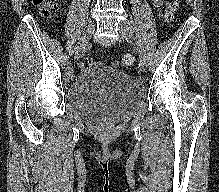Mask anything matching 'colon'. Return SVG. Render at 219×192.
<instances>
[{"mask_svg": "<svg viewBox=\"0 0 219 192\" xmlns=\"http://www.w3.org/2000/svg\"><path fill=\"white\" fill-rule=\"evenodd\" d=\"M34 5L41 11L42 14L48 15L55 9L54 0H33ZM176 6L173 2L167 4L163 11V22L168 24L173 21ZM135 62V57L132 54H125L120 62H115L113 65L120 64L122 66L128 67L133 65ZM90 65L94 64V60L89 61Z\"/></svg>", "mask_w": 219, "mask_h": 192, "instance_id": "1", "label": "colon"}]
</instances>
